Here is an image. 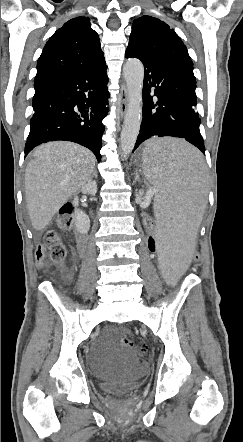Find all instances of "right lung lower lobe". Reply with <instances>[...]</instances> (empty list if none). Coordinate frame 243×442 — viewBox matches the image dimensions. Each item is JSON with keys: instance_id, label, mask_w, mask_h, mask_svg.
<instances>
[{"instance_id": "1", "label": "right lung lower lobe", "mask_w": 243, "mask_h": 442, "mask_svg": "<svg viewBox=\"0 0 243 442\" xmlns=\"http://www.w3.org/2000/svg\"><path fill=\"white\" fill-rule=\"evenodd\" d=\"M106 68L102 64L34 80V113L25 156L41 143L65 140L89 148L101 160L102 120L109 97Z\"/></svg>"}]
</instances>
